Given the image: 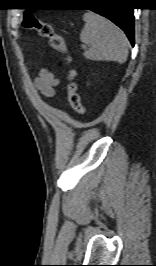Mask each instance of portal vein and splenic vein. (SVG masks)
I'll use <instances>...</instances> for the list:
<instances>
[{
	"mask_svg": "<svg viewBox=\"0 0 156 266\" xmlns=\"http://www.w3.org/2000/svg\"><path fill=\"white\" fill-rule=\"evenodd\" d=\"M83 48H84V49H86V48H87V46H86V45H83Z\"/></svg>",
	"mask_w": 156,
	"mask_h": 266,
	"instance_id": "portal-vein-and-splenic-vein-1",
	"label": "portal vein and splenic vein"
}]
</instances>
